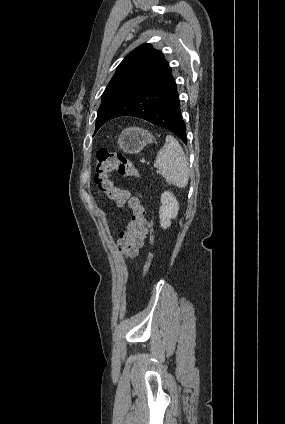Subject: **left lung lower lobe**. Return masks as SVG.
Masks as SVG:
<instances>
[{
    "instance_id": "1",
    "label": "left lung lower lobe",
    "mask_w": 285,
    "mask_h": 424,
    "mask_svg": "<svg viewBox=\"0 0 285 424\" xmlns=\"http://www.w3.org/2000/svg\"><path fill=\"white\" fill-rule=\"evenodd\" d=\"M121 116L147 120L172 131L187 143L177 86L169 65L154 81L118 105L106 122Z\"/></svg>"
}]
</instances>
